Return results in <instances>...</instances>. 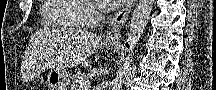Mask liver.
Instances as JSON below:
<instances>
[{"instance_id": "6515ba94", "label": "liver", "mask_w": 216, "mask_h": 90, "mask_svg": "<svg viewBox=\"0 0 216 90\" xmlns=\"http://www.w3.org/2000/svg\"><path fill=\"white\" fill-rule=\"evenodd\" d=\"M101 36H96L88 30L81 28H69L65 34V66L74 68V66H84L93 50L98 48Z\"/></svg>"}]
</instances>
